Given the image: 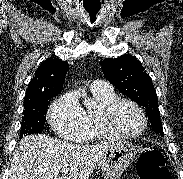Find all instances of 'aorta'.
Wrapping results in <instances>:
<instances>
[{
    "instance_id": "obj_1",
    "label": "aorta",
    "mask_w": 183,
    "mask_h": 179,
    "mask_svg": "<svg viewBox=\"0 0 183 179\" xmlns=\"http://www.w3.org/2000/svg\"><path fill=\"white\" fill-rule=\"evenodd\" d=\"M79 95L80 97L83 98V104L86 108H93L95 107L96 103L91 99L87 97V93L85 91V89H80L79 88Z\"/></svg>"
}]
</instances>
